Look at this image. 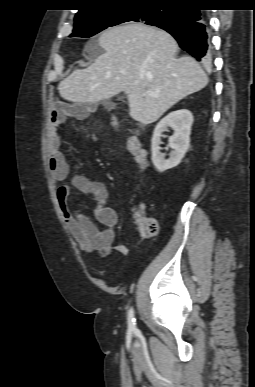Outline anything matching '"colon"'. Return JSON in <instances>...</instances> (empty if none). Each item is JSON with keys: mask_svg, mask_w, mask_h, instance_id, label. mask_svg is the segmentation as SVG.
Wrapping results in <instances>:
<instances>
[{"mask_svg": "<svg viewBox=\"0 0 255 387\" xmlns=\"http://www.w3.org/2000/svg\"><path fill=\"white\" fill-rule=\"evenodd\" d=\"M126 148L134 156L137 163L142 169H146L149 165L147 153L143 149L140 141L134 137L126 139ZM134 224L138 234L143 238H149L157 234L158 221L156 218L146 215L142 206H138L134 212Z\"/></svg>", "mask_w": 255, "mask_h": 387, "instance_id": "5ec220e1", "label": "colon"}]
</instances>
